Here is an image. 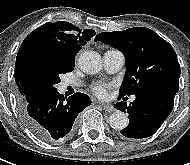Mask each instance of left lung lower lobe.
Returning a JSON list of instances; mask_svg holds the SVG:
<instances>
[{
    "label": "left lung lower lobe",
    "instance_id": "left-lung-lower-lobe-1",
    "mask_svg": "<svg viewBox=\"0 0 190 165\" xmlns=\"http://www.w3.org/2000/svg\"><path fill=\"white\" fill-rule=\"evenodd\" d=\"M175 92L165 89L146 90L135 94L129 106L118 102L114 107L129 114V125L120 131L128 138H147L163 124L173 109Z\"/></svg>",
    "mask_w": 190,
    "mask_h": 165
}]
</instances>
